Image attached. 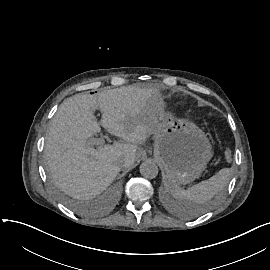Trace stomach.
<instances>
[{
    "label": "stomach",
    "instance_id": "obj_1",
    "mask_svg": "<svg viewBox=\"0 0 270 270\" xmlns=\"http://www.w3.org/2000/svg\"><path fill=\"white\" fill-rule=\"evenodd\" d=\"M150 124L154 139L153 155L164 167L167 181L179 186L198 178L212 157L205 133L190 121L164 113L159 106Z\"/></svg>",
    "mask_w": 270,
    "mask_h": 270
}]
</instances>
